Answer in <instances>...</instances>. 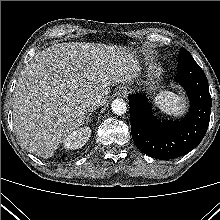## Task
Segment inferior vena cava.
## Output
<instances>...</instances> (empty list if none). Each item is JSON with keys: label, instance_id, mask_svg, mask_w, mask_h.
<instances>
[{"label": "inferior vena cava", "instance_id": "602c4592", "mask_svg": "<svg viewBox=\"0 0 220 220\" xmlns=\"http://www.w3.org/2000/svg\"><path fill=\"white\" fill-rule=\"evenodd\" d=\"M100 105V100L97 97H93L85 102L84 108L87 112L96 110Z\"/></svg>", "mask_w": 220, "mask_h": 220}]
</instances>
